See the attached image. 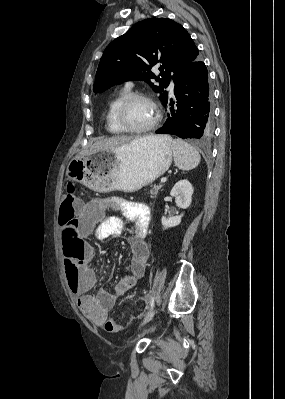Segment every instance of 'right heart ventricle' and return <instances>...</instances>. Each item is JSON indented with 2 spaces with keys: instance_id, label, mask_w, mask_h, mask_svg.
Here are the masks:
<instances>
[{
  "instance_id": "obj_1",
  "label": "right heart ventricle",
  "mask_w": 285,
  "mask_h": 399,
  "mask_svg": "<svg viewBox=\"0 0 285 399\" xmlns=\"http://www.w3.org/2000/svg\"><path fill=\"white\" fill-rule=\"evenodd\" d=\"M130 95V91L124 88L118 91L108 102L106 112V128L107 130L116 135L127 133L120 125L117 119V112L120 104Z\"/></svg>"
}]
</instances>
